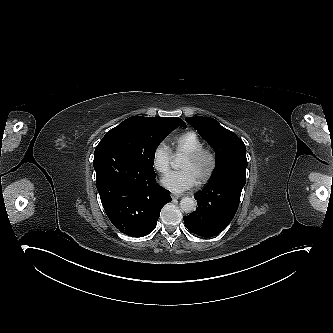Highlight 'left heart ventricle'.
Segmentation results:
<instances>
[{"label": "left heart ventricle", "mask_w": 333, "mask_h": 333, "mask_svg": "<svg viewBox=\"0 0 333 333\" xmlns=\"http://www.w3.org/2000/svg\"><path fill=\"white\" fill-rule=\"evenodd\" d=\"M183 167L187 168L191 172V174L195 175L202 170L203 163L197 166H190L188 164H184Z\"/></svg>", "instance_id": "left-heart-ventricle-1"}]
</instances>
